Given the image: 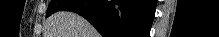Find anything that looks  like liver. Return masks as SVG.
<instances>
[{
	"instance_id": "obj_1",
	"label": "liver",
	"mask_w": 219,
	"mask_h": 37,
	"mask_svg": "<svg viewBox=\"0 0 219 37\" xmlns=\"http://www.w3.org/2000/svg\"><path fill=\"white\" fill-rule=\"evenodd\" d=\"M45 37H99L95 29L80 15L60 11L48 19Z\"/></svg>"
}]
</instances>
